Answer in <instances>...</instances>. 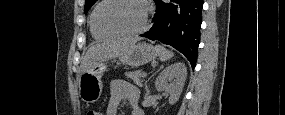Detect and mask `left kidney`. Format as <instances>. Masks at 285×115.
I'll list each match as a JSON object with an SVG mask.
<instances>
[{
  "instance_id": "left-kidney-1",
  "label": "left kidney",
  "mask_w": 285,
  "mask_h": 115,
  "mask_svg": "<svg viewBox=\"0 0 285 115\" xmlns=\"http://www.w3.org/2000/svg\"><path fill=\"white\" fill-rule=\"evenodd\" d=\"M187 76V68L184 63L177 62L166 67L156 79L155 85L158 91H166L170 94L169 103L178 101ZM169 82V83H168Z\"/></svg>"
}]
</instances>
